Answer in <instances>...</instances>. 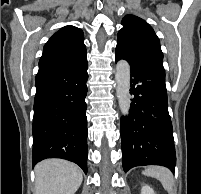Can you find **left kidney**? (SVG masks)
Returning a JSON list of instances; mask_svg holds the SVG:
<instances>
[{
  "mask_svg": "<svg viewBox=\"0 0 201 194\" xmlns=\"http://www.w3.org/2000/svg\"><path fill=\"white\" fill-rule=\"evenodd\" d=\"M141 194H155V193L151 187H149L148 185H145L141 189Z\"/></svg>",
  "mask_w": 201,
  "mask_h": 194,
  "instance_id": "left-kidney-1",
  "label": "left kidney"
}]
</instances>
